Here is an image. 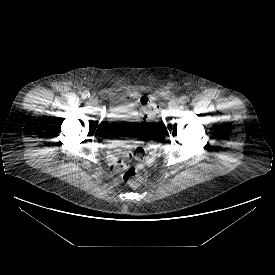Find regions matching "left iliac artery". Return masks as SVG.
<instances>
[{"label": "left iliac artery", "instance_id": "1", "mask_svg": "<svg viewBox=\"0 0 275 275\" xmlns=\"http://www.w3.org/2000/svg\"><path fill=\"white\" fill-rule=\"evenodd\" d=\"M189 101V98L187 96H181L180 97V102L181 103H187Z\"/></svg>", "mask_w": 275, "mask_h": 275}]
</instances>
